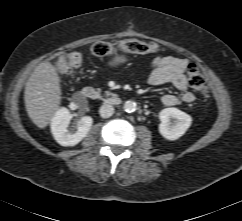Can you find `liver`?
Returning a JSON list of instances; mask_svg holds the SVG:
<instances>
[{
    "mask_svg": "<svg viewBox=\"0 0 242 221\" xmlns=\"http://www.w3.org/2000/svg\"><path fill=\"white\" fill-rule=\"evenodd\" d=\"M26 111L39 128H45L61 103L60 78L51 62L40 63L30 75L24 92Z\"/></svg>",
    "mask_w": 242,
    "mask_h": 221,
    "instance_id": "6515ba94",
    "label": "liver"
}]
</instances>
